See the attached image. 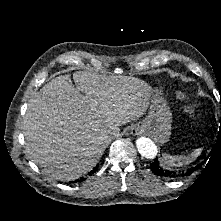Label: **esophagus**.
Here are the masks:
<instances>
[{
	"instance_id": "1",
	"label": "esophagus",
	"mask_w": 221,
	"mask_h": 221,
	"mask_svg": "<svg viewBox=\"0 0 221 221\" xmlns=\"http://www.w3.org/2000/svg\"><path fill=\"white\" fill-rule=\"evenodd\" d=\"M131 133H132V135H134V136H135V135H139V134H140V130H139V128L135 127V128L132 129Z\"/></svg>"
}]
</instances>
